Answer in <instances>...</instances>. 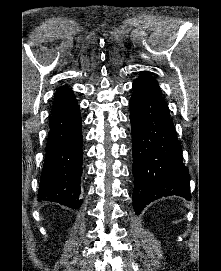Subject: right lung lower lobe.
Returning <instances> with one entry per match:
<instances>
[{
    "label": "right lung lower lobe",
    "mask_w": 221,
    "mask_h": 271,
    "mask_svg": "<svg viewBox=\"0 0 221 271\" xmlns=\"http://www.w3.org/2000/svg\"><path fill=\"white\" fill-rule=\"evenodd\" d=\"M46 156L41 173L38 200H46L78 209L83 199L82 123L77 101L51 111Z\"/></svg>",
    "instance_id": "right-lung-lower-lobe-1"
}]
</instances>
